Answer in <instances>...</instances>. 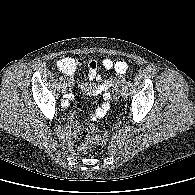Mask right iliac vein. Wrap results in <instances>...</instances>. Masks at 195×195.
Returning <instances> with one entry per match:
<instances>
[{"mask_svg": "<svg viewBox=\"0 0 195 195\" xmlns=\"http://www.w3.org/2000/svg\"><path fill=\"white\" fill-rule=\"evenodd\" d=\"M66 88H67V84H66V83H63V84L61 85V91H62V93H65Z\"/></svg>", "mask_w": 195, "mask_h": 195, "instance_id": "right-iliac-vein-1", "label": "right iliac vein"}]
</instances>
